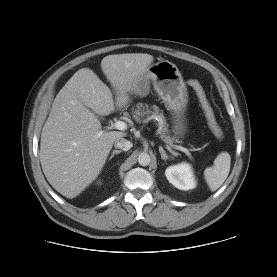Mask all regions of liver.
Instances as JSON below:
<instances>
[{
	"label": "liver",
	"mask_w": 277,
	"mask_h": 277,
	"mask_svg": "<svg viewBox=\"0 0 277 277\" xmlns=\"http://www.w3.org/2000/svg\"><path fill=\"white\" fill-rule=\"evenodd\" d=\"M153 56L108 55L101 68L115 91L89 68L79 69L56 95L41 132L40 162L51 186L74 198L100 174L115 140L126 133L102 131L96 114L109 115L128 103L132 85L146 72Z\"/></svg>",
	"instance_id": "obj_1"
}]
</instances>
